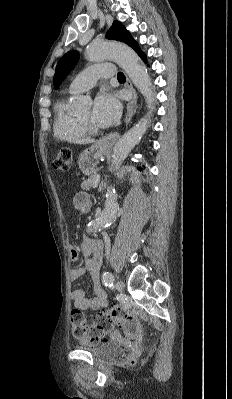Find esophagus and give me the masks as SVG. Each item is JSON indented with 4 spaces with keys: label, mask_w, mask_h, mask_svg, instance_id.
<instances>
[{
    "label": "esophagus",
    "mask_w": 232,
    "mask_h": 399,
    "mask_svg": "<svg viewBox=\"0 0 232 399\" xmlns=\"http://www.w3.org/2000/svg\"><path fill=\"white\" fill-rule=\"evenodd\" d=\"M126 85L128 87V89L132 92V100L130 102H128L127 104V113H126V117H125V125L128 126L133 114H134V110H133V105L135 103L136 100V91L132 85V83L130 82V80L128 79V77L126 78ZM120 137V134L118 132H112L109 133L107 135H104L103 137H101L97 142L96 145L98 147H102V148H111L113 147V145L115 144V142L118 140V138Z\"/></svg>",
    "instance_id": "esophagus-1"
}]
</instances>
